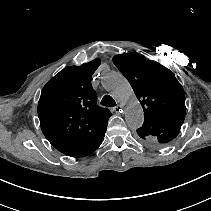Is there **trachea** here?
<instances>
[{"instance_id": "obj_1", "label": "trachea", "mask_w": 211, "mask_h": 211, "mask_svg": "<svg viewBox=\"0 0 211 211\" xmlns=\"http://www.w3.org/2000/svg\"><path fill=\"white\" fill-rule=\"evenodd\" d=\"M101 105L106 107H114L116 106V102L110 95H105L101 100Z\"/></svg>"}]
</instances>
